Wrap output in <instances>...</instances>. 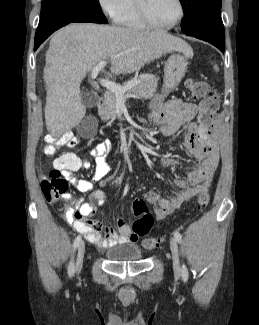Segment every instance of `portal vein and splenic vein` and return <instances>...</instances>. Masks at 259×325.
Segmentation results:
<instances>
[{
    "label": "portal vein and splenic vein",
    "instance_id": "1",
    "mask_svg": "<svg viewBox=\"0 0 259 325\" xmlns=\"http://www.w3.org/2000/svg\"><path fill=\"white\" fill-rule=\"evenodd\" d=\"M107 65V61H100L91 71V77L95 79L98 75V73ZM140 81H130L125 86H120L116 84L113 81H110L108 79H100V84L110 90L111 92H114L117 96V99L124 100L125 99V92L135 85L139 84Z\"/></svg>",
    "mask_w": 259,
    "mask_h": 325
}]
</instances>
